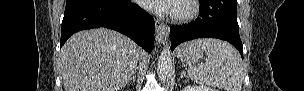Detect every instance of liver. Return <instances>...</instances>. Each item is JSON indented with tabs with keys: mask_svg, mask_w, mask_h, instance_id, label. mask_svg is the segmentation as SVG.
I'll use <instances>...</instances> for the list:
<instances>
[{
	"mask_svg": "<svg viewBox=\"0 0 304 91\" xmlns=\"http://www.w3.org/2000/svg\"><path fill=\"white\" fill-rule=\"evenodd\" d=\"M140 48L106 28L71 36L61 49L65 91H120L136 73Z\"/></svg>",
	"mask_w": 304,
	"mask_h": 91,
	"instance_id": "liver-1",
	"label": "liver"
}]
</instances>
